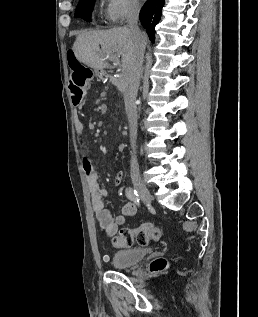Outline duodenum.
Segmentation results:
<instances>
[{
  "mask_svg": "<svg viewBox=\"0 0 258 317\" xmlns=\"http://www.w3.org/2000/svg\"><path fill=\"white\" fill-rule=\"evenodd\" d=\"M69 91L74 105H79L87 94L85 85L75 77H71L69 80Z\"/></svg>",
  "mask_w": 258,
  "mask_h": 317,
  "instance_id": "410a0bca",
  "label": "duodenum"
}]
</instances>
